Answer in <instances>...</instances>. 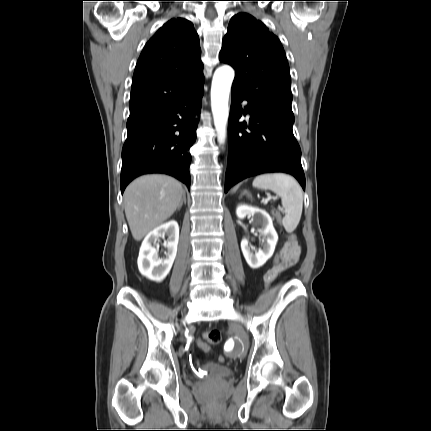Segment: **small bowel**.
<instances>
[{"mask_svg":"<svg viewBox=\"0 0 431 431\" xmlns=\"http://www.w3.org/2000/svg\"><path fill=\"white\" fill-rule=\"evenodd\" d=\"M302 238L295 236L293 240H288V243L283 244L282 255L277 259V263H271L269 271L264 276V282L268 286L275 278L281 275L282 271L292 267L297 263L300 257V247Z\"/></svg>","mask_w":431,"mask_h":431,"instance_id":"c3829d8e","label":"small bowel"}]
</instances>
